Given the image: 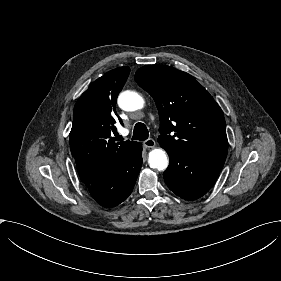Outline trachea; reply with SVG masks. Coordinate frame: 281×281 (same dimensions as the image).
Listing matches in <instances>:
<instances>
[{"label": "trachea", "instance_id": "obj_1", "mask_svg": "<svg viewBox=\"0 0 281 281\" xmlns=\"http://www.w3.org/2000/svg\"><path fill=\"white\" fill-rule=\"evenodd\" d=\"M148 138V130L143 123H137L134 127L131 140H146Z\"/></svg>", "mask_w": 281, "mask_h": 281}]
</instances>
